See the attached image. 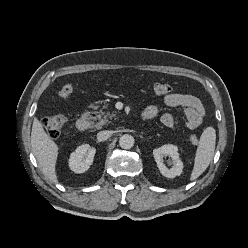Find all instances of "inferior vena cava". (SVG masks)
<instances>
[{"label": "inferior vena cava", "mask_w": 248, "mask_h": 248, "mask_svg": "<svg viewBox=\"0 0 248 248\" xmlns=\"http://www.w3.org/2000/svg\"><path fill=\"white\" fill-rule=\"evenodd\" d=\"M112 132L111 131H101L97 134V139L99 141H105L111 136Z\"/></svg>", "instance_id": "inferior-vena-cava-1"}]
</instances>
